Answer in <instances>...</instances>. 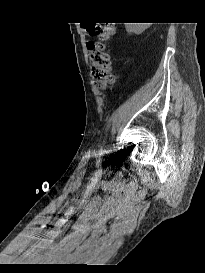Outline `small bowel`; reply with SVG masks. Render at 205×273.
I'll list each match as a JSON object with an SVG mask.
<instances>
[{"label":"small bowel","instance_id":"c3829d8e","mask_svg":"<svg viewBox=\"0 0 205 273\" xmlns=\"http://www.w3.org/2000/svg\"><path fill=\"white\" fill-rule=\"evenodd\" d=\"M89 35H91V34L89 33ZM89 43H90V42L87 43V46L89 45Z\"/></svg>","mask_w":205,"mask_h":273}]
</instances>
